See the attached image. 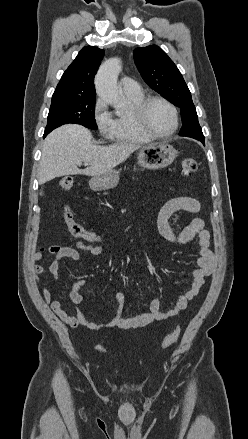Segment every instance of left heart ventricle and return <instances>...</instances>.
Returning a JSON list of instances; mask_svg holds the SVG:
<instances>
[{"instance_id": "obj_1", "label": "left heart ventricle", "mask_w": 248, "mask_h": 439, "mask_svg": "<svg viewBox=\"0 0 248 439\" xmlns=\"http://www.w3.org/2000/svg\"><path fill=\"white\" fill-rule=\"evenodd\" d=\"M149 127L158 134H166L173 128L174 120L170 108L162 102H152L146 113Z\"/></svg>"}]
</instances>
